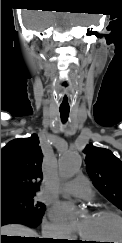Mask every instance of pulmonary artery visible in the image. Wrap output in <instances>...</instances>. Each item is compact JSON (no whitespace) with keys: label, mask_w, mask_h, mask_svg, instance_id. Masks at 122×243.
Listing matches in <instances>:
<instances>
[{"label":"pulmonary artery","mask_w":122,"mask_h":243,"mask_svg":"<svg viewBox=\"0 0 122 243\" xmlns=\"http://www.w3.org/2000/svg\"><path fill=\"white\" fill-rule=\"evenodd\" d=\"M62 192L90 200L93 198V190L88 180L83 176H77L62 186Z\"/></svg>","instance_id":"pulmonary-artery-1"}]
</instances>
